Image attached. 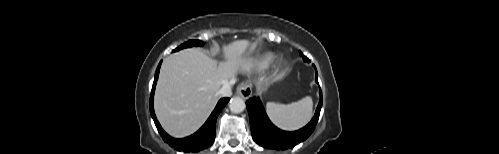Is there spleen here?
Wrapping results in <instances>:
<instances>
[{
    "label": "spleen",
    "instance_id": "3e777b00",
    "mask_svg": "<svg viewBox=\"0 0 499 154\" xmlns=\"http://www.w3.org/2000/svg\"><path fill=\"white\" fill-rule=\"evenodd\" d=\"M312 109L313 101L309 96L290 104H266V112L271 121L279 128L289 131L305 126L312 117Z\"/></svg>",
    "mask_w": 499,
    "mask_h": 154
}]
</instances>
